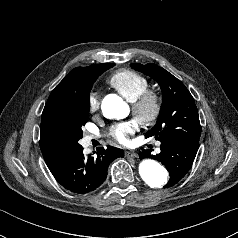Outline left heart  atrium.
Masks as SVG:
<instances>
[{
    "label": "left heart atrium",
    "mask_w": 238,
    "mask_h": 238,
    "mask_svg": "<svg viewBox=\"0 0 238 238\" xmlns=\"http://www.w3.org/2000/svg\"><path fill=\"white\" fill-rule=\"evenodd\" d=\"M136 131V123L133 120L120 122L110 129L109 135L120 144H128L130 136Z\"/></svg>",
    "instance_id": "left-heart-atrium-1"
}]
</instances>
